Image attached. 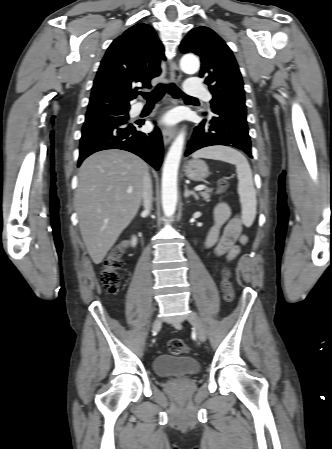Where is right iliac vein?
Returning <instances> with one entry per match:
<instances>
[{
	"mask_svg": "<svg viewBox=\"0 0 332 449\" xmlns=\"http://www.w3.org/2000/svg\"><path fill=\"white\" fill-rule=\"evenodd\" d=\"M160 325H161V321H160V319H155V321L153 322V329H156V328H159L160 327Z\"/></svg>",
	"mask_w": 332,
	"mask_h": 449,
	"instance_id": "63e3f726",
	"label": "right iliac vein"
}]
</instances>
